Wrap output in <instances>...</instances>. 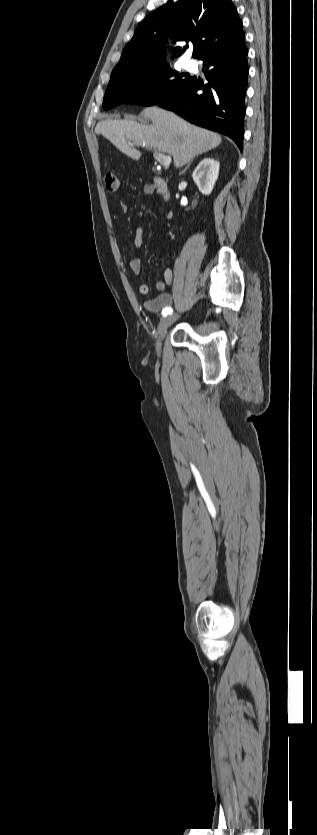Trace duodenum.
Listing matches in <instances>:
<instances>
[{
    "mask_svg": "<svg viewBox=\"0 0 317 835\" xmlns=\"http://www.w3.org/2000/svg\"><path fill=\"white\" fill-rule=\"evenodd\" d=\"M153 186L163 200H168L170 198L169 190L163 179L159 177H154Z\"/></svg>",
    "mask_w": 317,
    "mask_h": 835,
    "instance_id": "410a0bca",
    "label": "duodenum"
}]
</instances>
